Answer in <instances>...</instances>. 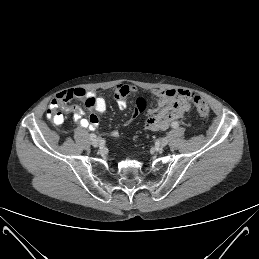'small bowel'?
<instances>
[{"label":"small bowel","instance_id":"small-bowel-1","mask_svg":"<svg viewBox=\"0 0 259 259\" xmlns=\"http://www.w3.org/2000/svg\"><path fill=\"white\" fill-rule=\"evenodd\" d=\"M136 91L134 86L119 84L113 90L114 98L120 109L128 105L127 97ZM153 95L158 98L157 106L146 112L145 128L151 131L166 130L171 123L183 119L191 109L190 101L194 94L186 89L155 90ZM84 100L91 111L89 118L83 117V110L78 105H65L71 99ZM51 105L62 106L65 112L72 113L75 123L81 127L95 129L100 117L107 109L104 98L97 97L94 92L85 91L82 88L68 90L57 95ZM112 136L117 137L118 131H112Z\"/></svg>","mask_w":259,"mask_h":259}]
</instances>
